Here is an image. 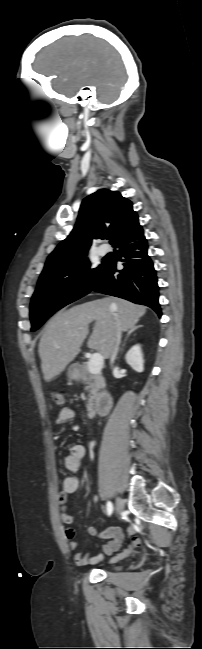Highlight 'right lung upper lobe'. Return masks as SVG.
Wrapping results in <instances>:
<instances>
[{
	"label": "right lung upper lobe",
	"mask_w": 202,
	"mask_h": 649,
	"mask_svg": "<svg viewBox=\"0 0 202 649\" xmlns=\"http://www.w3.org/2000/svg\"><path fill=\"white\" fill-rule=\"evenodd\" d=\"M140 229L132 202L118 191L100 189L83 200L74 229L49 255L39 278L71 270L93 239L109 236L113 245Z\"/></svg>",
	"instance_id": "right-lung-upper-lobe-1"
}]
</instances>
